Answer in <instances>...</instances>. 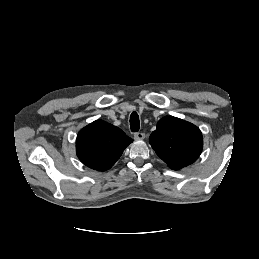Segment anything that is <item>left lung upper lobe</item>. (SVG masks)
Masks as SVG:
<instances>
[{"instance_id": "5c2ea615", "label": "left lung upper lobe", "mask_w": 259, "mask_h": 259, "mask_svg": "<svg viewBox=\"0 0 259 259\" xmlns=\"http://www.w3.org/2000/svg\"><path fill=\"white\" fill-rule=\"evenodd\" d=\"M156 154L173 170L192 164L203 148L198 127L182 119L166 116L157 123L149 138Z\"/></svg>"}]
</instances>
